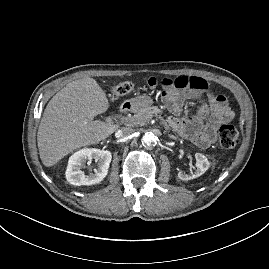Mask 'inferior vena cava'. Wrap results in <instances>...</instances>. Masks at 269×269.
<instances>
[{
  "label": "inferior vena cava",
  "instance_id": "1",
  "mask_svg": "<svg viewBox=\"0 0 269 269\" xmlns=\"http://www.w3.org/2000/svg\"><path fill=\"white\" fill-rule=\"evenodd\" d=\"M134 130L131 127H123L118 131L119 137H127L133 134Z\"/></svg>",
  "mask_w": 269,
  "mask_h": 269
}]
</instances>
